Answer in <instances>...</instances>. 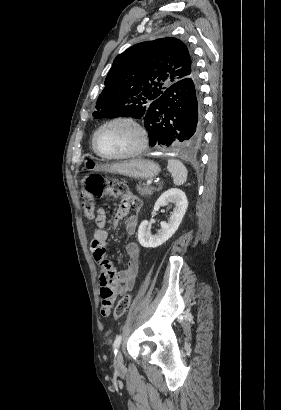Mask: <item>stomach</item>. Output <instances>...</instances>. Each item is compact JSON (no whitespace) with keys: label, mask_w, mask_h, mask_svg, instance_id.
<instances>
[{"label":"stomach","mask_w":281,"mask_h":410,"mask_svg":"<svg viewBox=\"0 0 281 410\" xmlns=\"http://www.w3.org/2000/svg\"><path fill=\"white\" fill-rule=\"evenodd\" d=\"M85 167L88 169L117 173L135 179H150L157 176L160 172V167L157 163L142 158L131 159L106 166L98 165L92 161H86Z\"/></svg>","instance_id":"0dacf381"}]
</instances>
